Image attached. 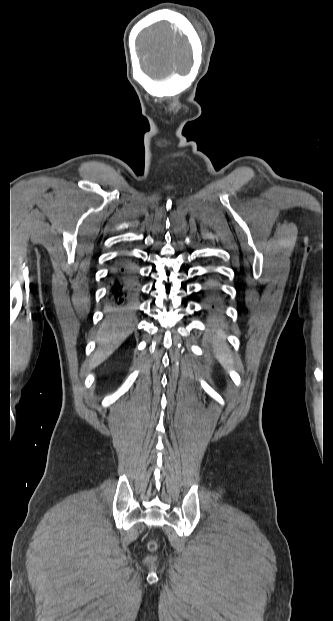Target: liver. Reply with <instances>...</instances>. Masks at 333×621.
Returning <instances> with one entry per match:
<instances>
[{
  "mask_svg": "<svg viewBox=\"0 0 333 621\" xmlns=\"http://www.w3.org/2000/svg\"><path fill=\"white\" fill-rule=\"evenodd\" d=\"M132 318L130 316L117 315L108 317L102 324L97 342L99 348L92 357L89 368H94L104 362L132 333Z\"/></svg>",
  "mask_w": 333,
  "mask_h": 621,
  "instance_id": "liver-1",
  "label": "liver"
}]
</instances>
